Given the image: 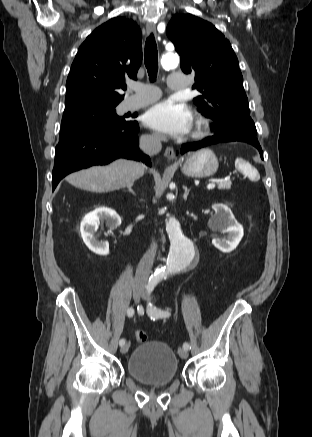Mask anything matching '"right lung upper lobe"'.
Here are the masks:
<instances>
[{
	"label": "right lung upper lobe",
	"mask_w": 312,
	"mask_h": 437,
	"mask_svg": "<svg viewBox=\"0 0 312 437\" xmlns=\"http://www.w3.org/2000/svg\"><path fill=\"white\" fill-rule=\"evenodd\" d=\"M142 62L141 30L135 22L116 17L96 28L79 47L67 78L66 108L117 105L116 92L128 78L136 80Z\"/></svg>",
	"instance_id": "1"
}]
</instances>
